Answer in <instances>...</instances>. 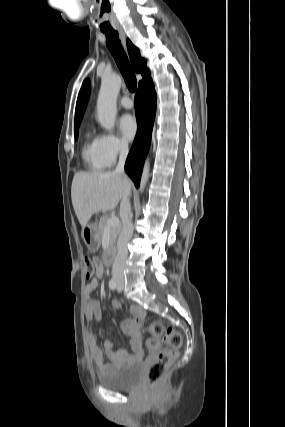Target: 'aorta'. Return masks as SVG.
<instances>
[{"instance_id": "1", "label": "aorta", "mask_w": 285, "mask_h": 427, "mask_svg": "<svg viewBox=\"0 0 285 427\" xmlns=\"http://www.w3.org/2000/svg\"><path fill=\"white\" fill-rule=\"evenodd\" d=\"M122 78L119 75H106L102 78L97 100V118L101 126L110 130L114 127L117 114L116 101L121 88ZM150 165L146 160L141 177L140 191L149 178Z\"/></svg>"}]
</instances>
